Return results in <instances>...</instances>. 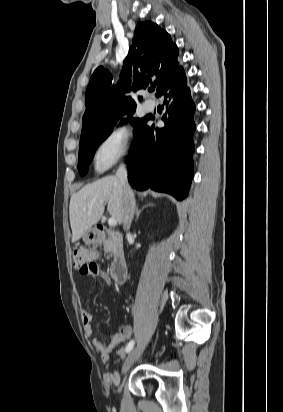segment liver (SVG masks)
Listing matches in <instances>:
<instances>
[{
	"mask_svg": "<svg viewBox=\"0 0 283 412\" xmlns=\"http://www.w3.org/2000/svg\"><path fill=\"white\" fill-rule=\"evenodd\" d=\"M112 218L123 223V187L116 176H107L85 185L70 199L72 242L79 240L101 218L104 205Z\"/></svg>",
	"mask_w": 283,
	"mask_h": 412,
	"instance_id": "6515ba94",
	"label": "liver"
}]
</instances>
